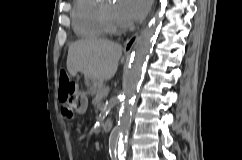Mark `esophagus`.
I'll return each mask as SVG.
<instances>
[{"instance_id":"1","label":"esophagus","mask_w":242,"mask_h":160,"mask_svg":"<svg viewBox=\"0 0 242 160\" xmlns=\"http://www.w3.org/2000/svg\"><path fill=\"white\" fill-rule=\"evenodd\" d=\"M139 33H140V31L135 32L131 37H129L126 40V42L124 44V51L125 52H131L132 51V49H133V47H134V45H135V43L138 39Z\"/></svg>"}]
</instances>
